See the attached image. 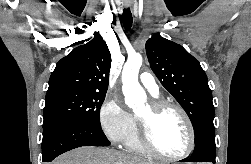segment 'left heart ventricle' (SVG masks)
Here are the masks:
<instances>
[{"instance_id": "obj_1", "label": "left heart ventricle", "mask_w": 251, "mask_h": 164, "mask_svg": "<svg viewBox=\"0 0 251 164\" xmlns=\"http://www.w3.org/2000/svg\"><path fill=\"white\" fill-rule=\"evenodd\" d=\"M139 118L151 123L153 141L164 154L178 156L185 152L189 144V133L177 111L168 109L154 116L148 106L139 114Z\"/></svg>"}]
</instances>
